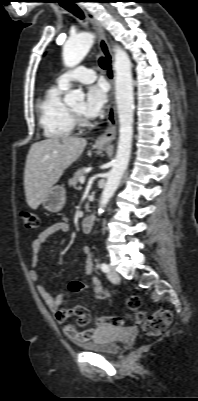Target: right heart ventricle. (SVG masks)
<instances>
[{"instance_id": "obj_1", "label": "right heart ventricle", "mask_w": 198, "mask_h": 401, "mask_svg": "<svg viewBox=\"0 0 198 401\" xmlns=\"http://www.w3.org/2000/svg\"><path fill=\"white\" fill-rule=\"evenodd\" d=\"M65 89L58 84L52 85L38 102L39 123L48 138L67 137L74 131L70 109L62 100Z\"/></svg>"}]
</instances>
